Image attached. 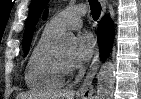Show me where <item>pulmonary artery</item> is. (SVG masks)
I'll return each mask as SVG.
<instances>
[{
  "label": "pulmonary artery",
  "mask_w": 141,
  "mask_h": 99,
  "mask_svg": "<svg viewBox=\"0 0 141 99\" xmlns=\"http://www.w3.org/2000/svg\"><path fill=\"white\" fill-rule=\"evenodd\" d=\"M85 13V7L82 5L69 7L51 18L44 30L58 35L68 29L80 28L82 26V16Z\"/></svg>",
  "instance_id": "obj_1"
}]
</instances>
